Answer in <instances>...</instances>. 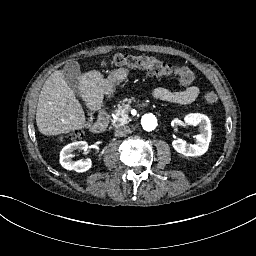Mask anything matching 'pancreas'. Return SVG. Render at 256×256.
I'll return each instance as SVG.
<instances>
[{
	"label": "pancreas",
	"instance_id": "pancreas-1",
	"mask_svg": "<svg viewBox=\"0 0 256 256\" xmlns=\"http://www.w3.org/2000/svg\"><path fill=\"white\" fill-rule=\"evenodd\" d=\"M132 109V105H131V101L129 100H125L123 103H121L118 111L121 112V111H124L125 114H128ZM110 120L112 121V126H120V125H123L124 123H127L130 118L126 115L125 118H122L121 115H118L117 116V119H113L112 117L110 118Z\"/></svg>",
	"mask_w": 256,
	"mask_h": 256
}]
</instances>
